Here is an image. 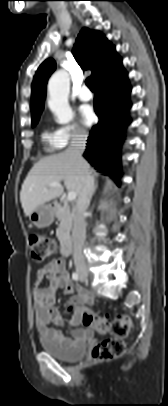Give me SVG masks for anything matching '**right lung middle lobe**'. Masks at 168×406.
I'll list each match as a JSON object with an SVG mask.
<instances>
[{"mask_svg": "<svg viewBox=\"0 0 168 406\" xmlns=\"http://www.w3.org/2000/svg\"><path fill=\"white\" fill-rule=\"evenodd\" d=\"M38 121H33L32 122V127H34L37 124Z\"/></svg>", "mask_w": 168, "mask_h": 406, "instance_id": "right-lung-middle-lobe-1", "label": "right lung middle lobe"}]
</instances>
